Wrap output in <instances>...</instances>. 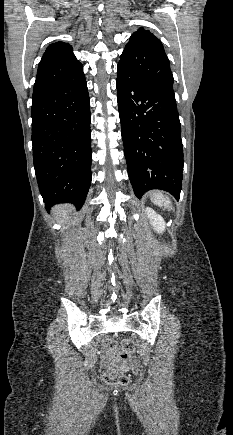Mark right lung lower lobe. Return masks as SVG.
<instances>
[{
  "mask_svg": "<svg viewBox=\"0 0 233 435\" xmlns=\"http://www.w3.org/2000/svg\"><path fill=\"white\" fill-rule=\"evenodd\" d=\"M34 168L50 209L73 203L80 209L91 184L90 99L84 73L32 98Z\"/></svg>",
  "mask_w": 233,
  "mask_h": 435,
  "instance_id": "right-lung-lower-lobe-1",
  "label": "right lung lower lobe"
}]
</instances>
